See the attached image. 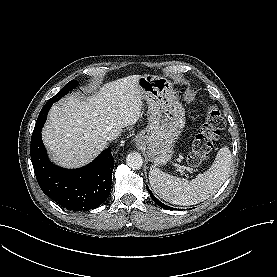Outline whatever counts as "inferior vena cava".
Segmentation results:
<instances>
[{
	"label": "inferior vena cava",
	"instance_id": "1",
	"mask_svg": "<svg viewBox=\"0 0 277 277\" xmlns=\"http://www.w3.org/2000/svg\"><path fill=\"white\" fill-rule=\"evenodd\" d=\"M118 137V134L115 132L109 133V135L106 137V141H113Z\"/></svg>",
	"mask_w": 277,
	"mask_h": 277
}]
</instances>
